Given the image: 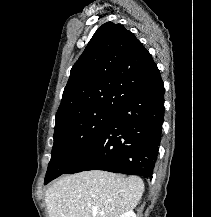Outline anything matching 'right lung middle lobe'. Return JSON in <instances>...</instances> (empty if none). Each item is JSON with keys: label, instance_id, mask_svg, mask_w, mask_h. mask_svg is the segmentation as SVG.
I'll list each match as a JSON object with an SVG mask.
<instances>
[{"label": "right lung middle lobe", "instance_id": "1", "mask_svg": "<svg viewBox=\"0 0 211 217\" xmlns=\"http://www.w3.org/2000/svg\"><path fill=\"white\" fill-rule=\"evenodd\" d=\"M117 111H96L55 126L54 144L45 181L64 174L101 137Z\"/></svg>", "mask_w": 211, "mask_h": 217}]
</instances>
